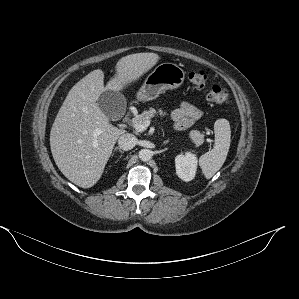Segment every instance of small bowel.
Instances as JSON below:
<instances>
[{
	"label": "small bowel",
	"instance_id": "small-bowel-1",
	"mask_svg": "<svg viewBox=\"0 0 299 299\" xmlns=\"http://www.w3.org/2000/svg\"><path fill=\"white\" fill-rule=\"evenodd\" d=\"M202 116V111L192 103L185 101L171 112L174 127L177 130H184L190 127Z\"/></svg>",
	"mask_w": 299,
	"mask_h": 299
}]
</instances>
